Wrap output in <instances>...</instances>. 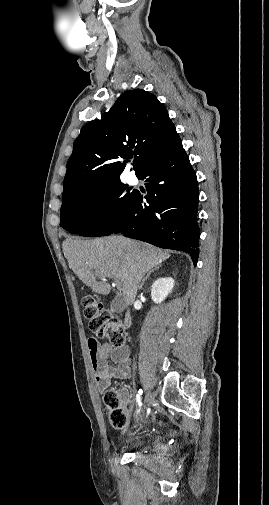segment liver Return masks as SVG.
Instances as JSON below:
<instances>
[{"instance_id":"liver-1","label":"liver","mask_w":269,"mask_h":505,"mask_svg":"<svg viewBox=\"0 0 269 505\" xmlns=\"http://www.w3.org/2000/svg\"><path fill=\"white\" fill-rule=\"evenodd\" d=\"M62 248L72 271L93 292L108 295L111 291L110 284L97 281V275L113 279L127 305L134 303L144 274L170 257L165 250L123 236L68 238Z\"/></svg>"}]
</instances>
